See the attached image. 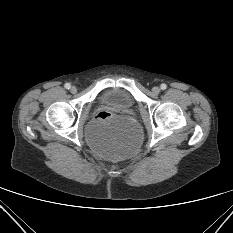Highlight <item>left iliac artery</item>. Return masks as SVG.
Here are the masks:
<instances>
[{"instance_id":"44dca946","label":"left iliac artery","mask_w":233,"mask_h":233,"mask_svg":"<svg viewBox=\"0 0 233 233\" xmlns=\"http://www.w3.org/2000/svg\"><path fill=\"white\" fill-rule=\"evenodd\" d=\"M160 88H161L162 90H165V89L167 88V85L163 83V84L160 85Z\"/></svg>"}]
</instances>
